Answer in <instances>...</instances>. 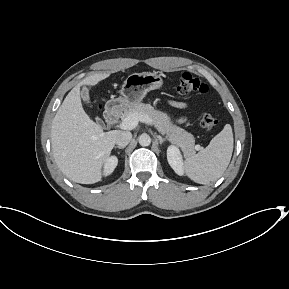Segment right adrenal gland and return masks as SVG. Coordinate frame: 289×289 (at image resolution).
<instances>
[{
    "label": "right adrenal gland",
    "instance_id": "1",
    "mask_svg": "<svg viewBox=\"0 0 289 289\" xmlns=\"http://www.w3.org/2000/svg\"><path fill=\"white\" fill-rule=\"evenodd\" d=\"M115 149H124V147H120V146H115Z\"/></svg>",
    "mask_w": 289,
    "mask_h": 289
}]
</instances>
